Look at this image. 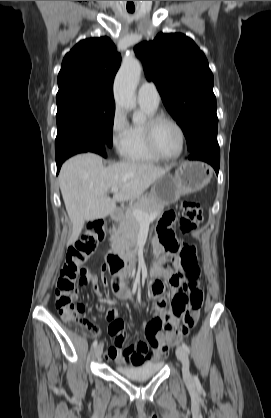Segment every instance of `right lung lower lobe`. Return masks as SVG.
Masks as SVG:
<instances>
[{
  "mask_svg": "<svg viewBox=\"0 0 271 418\" xmlns=\"http://www.w3.org/2000/svg\"><path fill=\"white\" fill-rule=\"evenodd\" d=\"M106 145L102 142L86 143L74 147H67L56 151L55 158L57 164V173L59 172L62 163L69 157L82 152H94L106 157Z\"/></svg>",
  "mask_w": 271,
  "mask_h": 418,
  "instance_id": "98d812e1",
  "label": "right lung lower lobe"
}]
</instances>
